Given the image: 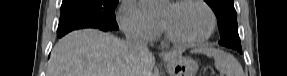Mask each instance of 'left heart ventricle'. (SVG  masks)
I'll list each match as a JSON object with an SVG mask.
<instances>
[{
    "label": "left heart ventricle",
    "instance_id": "1",
    "mask_svg": "<svg viewBox=\"0 0 287 76\" xmlns=\"http://www.w3.org/2000/svg\"><path fill=\"white\" fill-rule=\"evenodd\" d=\"M169 30L178 38L192 40L202 36L209 25L206 11L199 5L188 3L178 7L167 5L160 14Z\"/></svg>",
    "mask_w": 287,
    "mask_h": 76
}]
</instances>
